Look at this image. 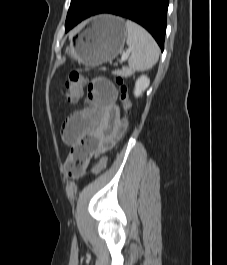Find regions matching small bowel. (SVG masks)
<instances>
[{
    "mask_svg": "<svg viewBox=\"0 0 227 265\" xmlns=\"http://www.w3.org/2000/svg\"><path fill=\"white\" fill-rule=\"evenodd\" d=\"M117 91L106 78L93 80L87 90L89 106L71 113L63 124L61 137L72 149L85 155V165L111 148L123 135L126 122L121 118L116 104Z\"/></svg>",
    "mask_w": 227,
    "mask_h": 265,
    "instance_id": "obj_1",
    "label": "small bowel"
}]
</instances>
